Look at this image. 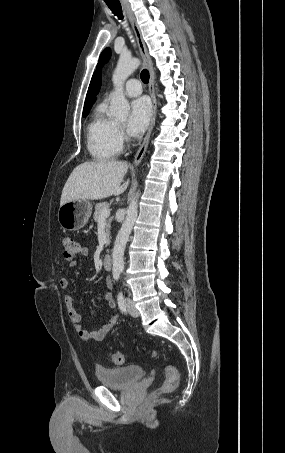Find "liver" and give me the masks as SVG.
<instances>
[{
	"instance_id": "obj_1",
	"label": "liver",
	"mask_w": 285,
	"mask_h": 453,
	"mask_svg": "<svg viewBox=\"0 0 285 453\" xmlns=\"http://www.w3.org/2000/svg\"><path fill=\"white\" fill-rule=\"evenodd\" d=\"M127 170L126 162L116 160H98L78 165L65 183L60 206L79 199L100 200L122 194L129 184L127 180L121 185Z\"/></svg>"
}]
</instances>
